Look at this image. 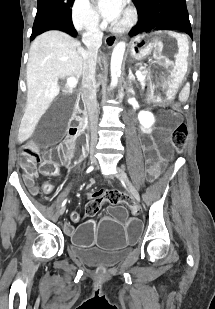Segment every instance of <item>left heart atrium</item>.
Wrapping results in <instances>:
<instances>
[{
  "instance_id": "39dd6f15",
  "label": "left heart atrium",
  "mask_w": 215,
  "mask_h": 309,
  "mask_svg": "<svg viewBox=\"0 0 215 309\" xmlns=\"http://www.w3.org/2000/svg\"><path fill=\"white\" fill-rule=\"evenodd\" d=\"M100 7V16L105 24H109L110 20H121L125 14V0H98Z\"/></svg>"
}]
</instances>
